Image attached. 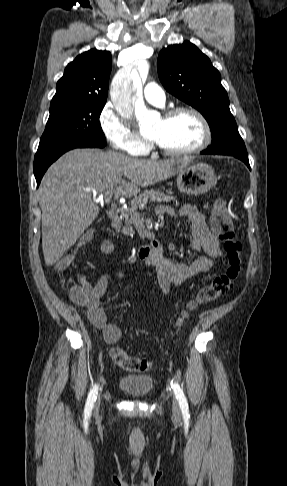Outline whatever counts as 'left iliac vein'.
<instances>
[{
	"label": "left iliac vein",
	"mask_w": 287,
	"mask_h": 486,
	"mask_svg": "<svg viewBox=\"0 0 287 486\" xmlns=\"http://www.w3.org/2000/svg\"><path fill=\"white\" fill-rule=\"evenodd\" d=\"M172 411H173V414L175 417L179 418L180 417V406H179V402L176 398H173V401H172Z\"/></svg>",
	"instance_id": "obj_1"
}]
</instances>
